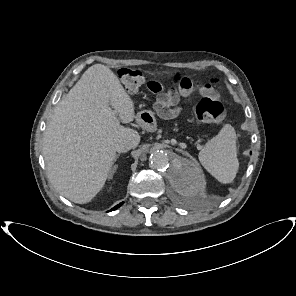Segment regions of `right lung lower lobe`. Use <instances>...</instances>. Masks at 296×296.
<instances>
[{
    "instance_id": "right-lung-lower-lobe-1",
    "label": "right lung lower lobe",
    "mask_w": 296,
    "mask_h": 296,
    "mask_svg": "<svg viewBox=\"0 0 296 296\" xmlns=\"http://www.w3.org/2000/svg\"><path fill=\"white\" fill-rule=\"evenodd\" d=\"M122 204H123V202L120 203V204H118V205H116L114 208L111 209V211H112V210H116V209L119 208Z\"/></svg>"
}]
</instances>
